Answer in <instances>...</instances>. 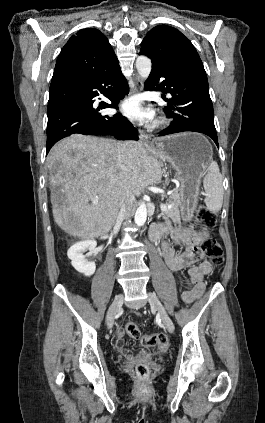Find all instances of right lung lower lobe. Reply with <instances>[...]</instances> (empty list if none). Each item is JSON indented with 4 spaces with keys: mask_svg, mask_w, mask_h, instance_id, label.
<instances>
[{
    "mask_svg": "<svg viewBox=\"0 0 265 423\" xmlns=\"http://www.w3.org/2000/svg\"><path fill=\"white\" fill-rule=\"evenodd\" d=\"M127 81L120 66L105 72H88L51 82L48 101L47 146L75 133L113 135L121 140H139L138 132L121 114L102 116L104 108H118L128 94ZM103 94L111 104L95 107L94 98Z\"/></svg>",
    "mask_w": 265,
    "mask_h": 423,
    "instance_id": "1",
    "label": "right lung lower lobe"
}]
</instances>
